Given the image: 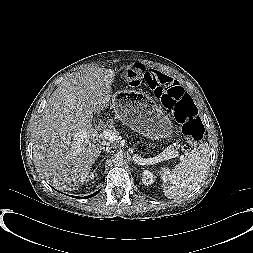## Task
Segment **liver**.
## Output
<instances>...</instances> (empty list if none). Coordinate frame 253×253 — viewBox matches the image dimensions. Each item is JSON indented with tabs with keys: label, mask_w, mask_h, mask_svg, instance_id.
Listing matches in <instances>:
<instances>
[{
	"label": "liver",
	"mask_w": 253,
	"mask_h": 253,
	"mask_svg": "<svg viewBox=\"0 0 253 253\" xmlns=\"http://www.w3.org/2000/svg\"><path fill=\"white\" fill-rule=\"evenodd\" d=\"M114 77V70L106 68L71 74L52 93L35 123V166L57 188L71 191L82 186L107 143L91 118L109 105Z\"/></svg>",
	"instance_id": "liver-1"
}]
</instances>
